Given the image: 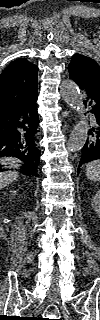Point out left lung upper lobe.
Segmentation results:
<instances>
[{
  "label": "left lung upper lobe",
  "mask_w": 100,
  "mask_h": 320,
  "mask_svg": "<svg viewBox=\"0 0 100 320\" xmlns=\"http://www.w3.org/2000/svg\"><path fill=\"white\" fill-rule=\"evenodd\" d=\"M68 71L72 80L100 97V67L93 59L75 54L68 66Z\"/></svg>",
  "instance_id": "obj_1"
}]
</instances>
